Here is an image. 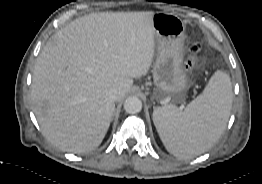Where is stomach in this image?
Masks as SVG:
<instances>
[{"mask_svg":"<svg viewBox=\"0 0 262 184\" xmlns=\"http://www.w3.org/2000/svg\"><path fill=\"white\" fill-rule=\"evenodd\" d=\"M157 57L153 66L156 98L175 102L183 100L189 81L183 68L184 22L176 15L157 12L152 17Z\"/></svg>","mask_w":262,"mask_h":184,"instance_id":"1","label":"stomach"}]
</instances>
